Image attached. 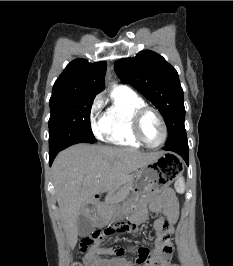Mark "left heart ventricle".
I'll use <instances>...</instances> for the list:
<instances>
[{"instance_id": "obj_1", "label": "left heart ventricle", "mask_w": 233, "mask_h": 266, "mask_svg": "<svg viewBox=\"0 0 233 266\" xmlns=\"http://www.w3.org/2000/svg\"><path fill=\"white\" fill-rule=\"evenodd\" d=\"M141 131L144 139L151 145H156L162 140L163 129L161 123L152 112H148L144 116L141 124Z\"/></svg>"}]
</instances>
